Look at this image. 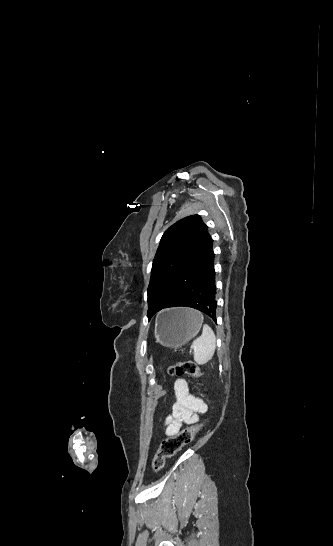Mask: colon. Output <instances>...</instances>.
I'll use <instances>...</instances> for the list:
<instances>
[{
    "label": "colon",
    "instance_id": "5ec220e1",
    "mask_svg": "<svg viewBox=\"0 0 333 546\" xmlns=\"http://www.w3.org/2000/svg\"><path fill=\"white\" fill-rule=\"evenodd\" d=\"M168 374L171 376H187L192 379H199L202 376L200 368L190 360L178 361L168 367ZM203 423L187 427L173 436L165 438L153 458L152 468L155 472L161 470L165 461L173 457L182 447L190 443L196 434L205 425Z\"/></svg>",
    "mask_w": 333,
    "mask_h": 546
}]
</instances>
